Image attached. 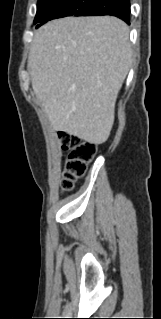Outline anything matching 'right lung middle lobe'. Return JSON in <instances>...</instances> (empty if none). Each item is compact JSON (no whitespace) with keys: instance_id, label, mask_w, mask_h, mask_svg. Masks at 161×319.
<instances>
[{"instance_id":"right-lung-middle-lobe-1","label":"right lung middle lobe","mask_w":161,"mask_h":319,"mask_svg":"<svg viewBox=\"0 0 161 319\" xmlns=\"http://www.w3.org/2000/svg\"><path fill=\"white\" fill-rule=\"evenodd\" d=\"M93 2L94 0H38L34 24L60 17L80 16Z\"/></svg>"}]
</instances>
